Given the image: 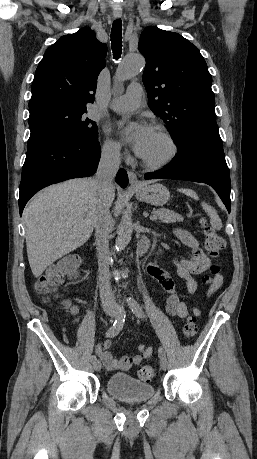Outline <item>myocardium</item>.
I'll list each match as a JSON object with an SVG mask.
<instances>
[{
    "mask_svg": "<svg viewBox=\"0 0 257 459\" xmlns=\"http://www.w3.org/2000/svg\"><path fill=\"white\" fill-rule=\"evenodd\" d=\"M153 129L157 130L164 137V139L168 142L170 146V151L166 157H164L163 159L159 161H150V160L143 158L142 156H139V157H140V160L143 166H145L146 168L151 169V170H159V169H163L167 167L175 160L179 152V146H178L177 141L173 137V135L163 125L156 124L153 126Z\"/></svg>",
    "mask_w": 257,
    "mask_h": 459,
    "instance_id": "myocardium-1",
    "label": "myocardium"
}]
</instances>
